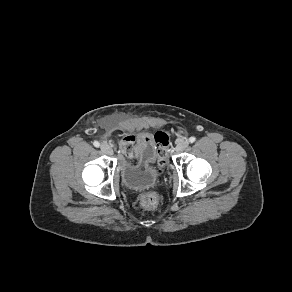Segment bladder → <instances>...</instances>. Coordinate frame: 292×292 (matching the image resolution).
<instances>
[{
  "label": "bladder",
  "instance_id": "bladder-1",
  "mask_svg": "<svg viewBox=\"0 0 292 292\" xmlns=\"http://www.w3.org/2000/svg\"><path fill=\"white\" fill-rule=\"evenodd\" d=\"M121 176L127 188L138 190L153 186L157 180L158 172L152 165L144 168L125 167L122 169Z\"/></svg>",
  "mask_w": 292,
  "mask_h": 292
}]
</instances>
